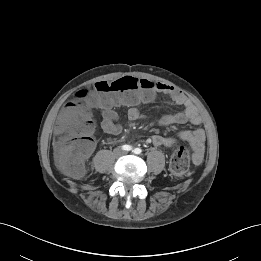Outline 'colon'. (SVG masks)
<instances>
[{
    "label": "colon",
    "instance_id": "1",
    "mask_svg": "<svg viewBox=\"0 0 261 261\" xmlns=\"http://www.w3.org/2000/svg\"><path fill=\"white\" fill-rule=\"evenodd\" d=\"M157 83L142 78L126 76L113 82L99 81L80 89L75 98L77 101H87L95 104L94 95H100L101 102L109 99L126 104L153 97ZM67 124L60 132L61 148L56 155V164L60 170L73 178L84 173L83 159L90 146V138L84 131L85 120L75 111L66 112ZM191 153L187 146H178L170 160V171L175 177H182L189 171Z\"/></svg>",
    "mask_w": 261,
    "mask_h": 261
}]
</instances>
